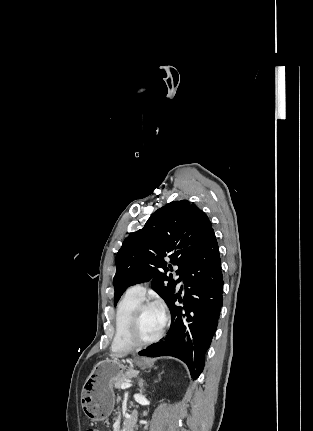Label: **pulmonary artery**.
<instances>
[{"label": "pulmonary artery", "mask_w": 313, "mask_h": 431, "mask_svg": "<svg viewBox=\"0 0 313 431\" xmlns=\"http://www.w3.org/2000/svg\"><path fill=\"white\" fill-rule=\"evenodd\" d=\"M177 277L180 279L179 285H183V279H182L181 275L179 274ZM145 292H146V287L143 284L133 285V286L129 287L126 291V293H128L134 297L140 298V299L144 298Z\"/></svg>", "instance_id": "pulmonary-artery-1"}]
</instances>
